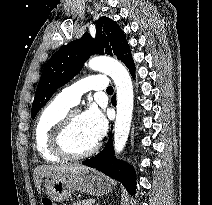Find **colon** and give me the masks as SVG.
Wrapping results in <instances>:
<instances>
[{
  "instance_id": "colon-1",
  "label": "colon",
  "mask_w": 212,
  "mask_h": 205,
  "mask_svg": "<svg viewBox=\"0 0 212 205\" xmlns=\"http://www.w3.org/2000/svg\"><path fill=\"white\" fill-rule=\"evenodd\" d=\"M42 205H54L53 202L50 199H43Z\"/></svg>"
}]
</instances>
